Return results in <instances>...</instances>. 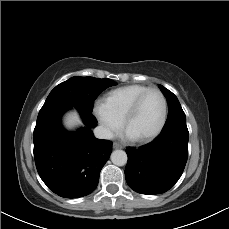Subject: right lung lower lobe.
<instances>
[{
    "label": "right lung lower lobe",
    "mask_w": 229,
    "mask_h": 229,
    "mask_svg": "<svg viewBox=\"0 0 229 229\" xmlns=\"http://www.w3.org/2000/svg\"><path fill=\"white\" fill-rule=\"evenodd\" d=\"M71 107L40 111L34 129V158L43 182L64 198H78L93 192L112 143L94 137L97 121L91 112L78 109L86 127L67 132L61 117Z\"/></svg>",
    "instance_id": "obj_1"
}]
</instances>
